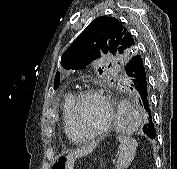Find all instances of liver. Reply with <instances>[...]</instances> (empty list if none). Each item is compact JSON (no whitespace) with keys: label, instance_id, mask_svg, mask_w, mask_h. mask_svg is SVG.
I'll return each mask as SVG.
<instances>
[{"label":"liver","instance_id":"obj_1","mask_svg":"<svg viewBox=\"0 0 177 169\" xmlns=\"http://www.w3.org/2000/svg\"><path fill=\"white\" fill-rule=\"evenodd\" d=\"M89 152V150L87 149H81V150H77V151H74L73 153L69 154L67 156V166L69 169H72V165L75 161L76 158L80 157V156H83L85 154H87Z\"/></svg>","mask_w":177,"mask_h":169}]
</instances>
